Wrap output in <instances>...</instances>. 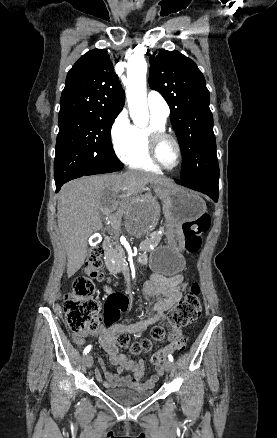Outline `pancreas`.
<instances>
[{"label":"pancreas","instance_id":"1","mask_svg":"<svg viewBox=\"0 0 277 438\" xmlns=\"http://www.w3.org/2000/svg\"><path fill=\"white\" fill-rule=\"evenodd\" d=\"M108 246L105 253V264L108 270H119L120 267H128L130 264L128 251H120V246L116 240L121 238V233L118 231L108 232ZM161 239L160 231H149L146 234V239L142 244H138L135 250L138 253H149L150 248H157Z\"/></svg>","mask_w":277,"mask_h":438}]
</instances>
